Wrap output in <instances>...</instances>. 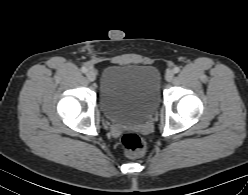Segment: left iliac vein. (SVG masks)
Returning <instances> with one entry per match:
<instances>
[{"mask_svg":"<svg viewBox=\"0 0 248 195\" xmlns=\"http://www.w3.org/2000/svg\"><path fill=\"white\" fill-rule=\"evenodd\" d=\"M165 78L168 82L172 81L174 78V72L173 71H168L165 75Z\"/></svg>","mask_w":248,"mask_h":195,"instance_id":"1","label":"left iliac vein"}]
</instances>
